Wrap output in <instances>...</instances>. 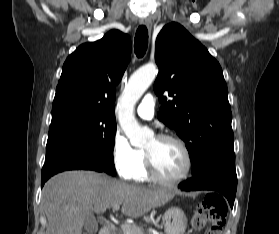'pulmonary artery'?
<instances>
[{"label":"pulmonary artery","mask_w":279,"mask_h":234,"mask_svg":"<svg viewBox=\"0 0 279 234\" xmlns=\"http://www.w3.org/2000/svg\"><path fill=\"white\" fill-rule=\"evenodd\" d=\"M156 99L152 94H146L140 104L136 108L137 114L146 120H150L154 116Z\"/></svg>","instance_id":"1"}]
</instances>
